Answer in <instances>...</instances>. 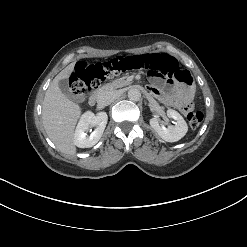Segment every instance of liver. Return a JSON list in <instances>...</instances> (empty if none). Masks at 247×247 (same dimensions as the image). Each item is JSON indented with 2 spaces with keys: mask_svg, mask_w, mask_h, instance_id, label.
Wrapping results in <instances>:
<instances>
[{
  "mask_svg": "<svg viewBox=\"0 0 247 247\" xmlns=\"http://www.w3.org/2000/svg\"><path fill=\"white\" fill-rule=\"evenodd\" d=\"M75 62L63 69L47 89L42 106L45 131L55 146L67 155H75L74 130L81 115L79 105L68 99L59 88V81L68 78Z\"/></svg>",
  "mask_w": 247,
  "mask_h": 247,
  "instance_id": "liver-1",
  "label": "liver"
}]
</instances>
